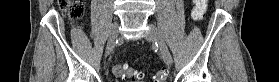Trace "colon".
<instances>
[{
  "mask_svg": "<svg viewBox=\"0 0 279 82\" xmlns=\"http://www.w3.org/2000/svg\"><path fill=\"white\" fill-rule=\"evenodd\" d=\"M194 9L191 12V16L195 20H199L203 17L206 10L208 0H194ZM59 5L64 14L67 15L72 21L80 20L84 15V5L80 0H59ZM113 75L119 79H130L132 81H139L143 73L128 65L115 64L112 67ZM168 75V71L165 69H159L155 74V82H164Z\"/></svg>",
  "mask_w": 279,
  "mask_h": 82,
  "instance_id": "1",
  "label": "colon"
}]
</instances>
